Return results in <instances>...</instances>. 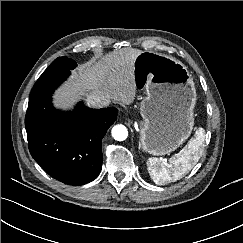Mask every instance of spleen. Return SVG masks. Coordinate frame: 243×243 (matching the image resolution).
<instances>
[{"instance_id": "obj_1", "label": "spleen", "mask_w": 243, "mask_h": 243, "mask_svg": "<svg viewBox=\"0 0 243 243\" xmlns=\"http://www.w3.org/2000/svg\"><path fill=\"white\" fill-rule=\"evenodd\" d=\"M205 139V130L198 128L194 138L178 153L169 159L168 163L161 162L157 158H149L147 168L153 181L157 185L175 182L191 170L199 161L201 146Z\"/></svg>"}]
</instances>
